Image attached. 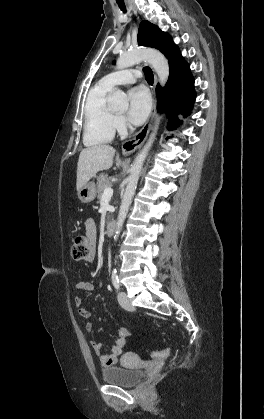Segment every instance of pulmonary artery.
<instances>
[{
    "label": "pulmonary artery",
    "mask_w": 264,
    "mask_h": 419,
    "mask_svg": "<svg viewBox=\"0 0 264 419\" xmlns=\"http://www.w3.org/2000/svg\"><path fill=\"white\" fill-rule=\"evenodd\" d=\"M141 76L140 72L133 69H124L117 72L110 73L102 78V82L113 88L117 85L134 83Z\"/></svg>",
    "instance_id": "1"
}]
</instances>
